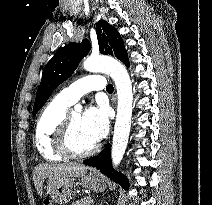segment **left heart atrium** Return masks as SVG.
I'll return each instance as SVG.
<instances>
[{"label":"left heart atrium","mask_w":212,"mask_h":205,"mask_svg":"<svg viewBox=\"0 0 212 205\" xmlns=\"http://www.w3.org/2000/svg\"><path fill=\"white\" fill-rule=\"evenodd\" d=\"M82 124L95 142L101 140L109 129L107 108L104 106L89 107L82 115Z\"/></svg>","instance_id":"left-heart-atrium-1"}]
</instances>
